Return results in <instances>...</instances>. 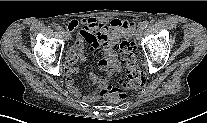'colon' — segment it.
<instances>
[{
    "label": "colon",
    "instance_id": "obj_1",
    "mask_svg": "<svg viewBox=\"0 0 207 123\" xmlns=\"http://www.w3.org/2000/svg\"><path fill=\"white\" fill-rule=\"evenodd\" d=\"M118 49L125 75L118 72L109 73L103 78L99 91L102 99L112 103L122 101L128 90L139 88L145 82V75L138 64L133 43L123 39L119 42Z\"/></svg>",
    "mask_w": 207,
    "mask_h": 123
}]
</instances>
